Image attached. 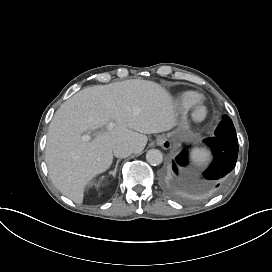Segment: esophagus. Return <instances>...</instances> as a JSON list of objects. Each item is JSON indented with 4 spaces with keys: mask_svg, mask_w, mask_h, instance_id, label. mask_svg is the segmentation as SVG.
Returning a JSON list of instances; mask_svg holds the SVG:
<instances>
[{
    "mask_svg": "<svg viewBox=\"0 0 272 272\" xmlns=\"http://www.w3.org/2000/svg\"><path fill=\"white\" fill-rule=\"evenodd\" d=\"M157 145L164 149H169L171 147V142L166 135L162 134L157 138Z\"/></svg>",
    "mask_w": 272,
    "mask_h": 272,
    "instance_id": "esophagus-1",
    "label": "esophagus"
}]
</instances>
